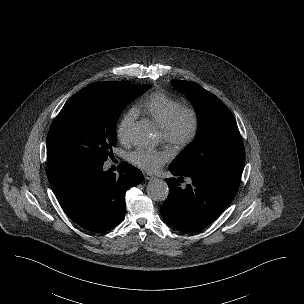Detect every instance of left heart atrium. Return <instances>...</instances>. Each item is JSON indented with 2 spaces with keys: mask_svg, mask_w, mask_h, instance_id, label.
Returning <instances> with one entry per match:
<instances>
[{
  "mask_svg": "<svg viewBox=\"0 0 304 304\" xmlns=\"http://www.w3.org/2000/svg\"><path fill=\"white\" fill-rule=\"evenodd\" d=\"M171 157L169 151H150L137 149L128 155L129 162L145 171L154 172L165 164Z\"/></svg>",
  "mask_w": 304,
  "mask_h": 304,
  "instance_id": "obj_1",
  "label": "left heart atrium"
}]
</instances>
